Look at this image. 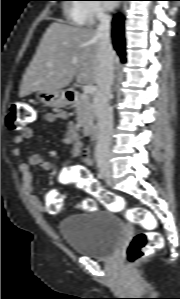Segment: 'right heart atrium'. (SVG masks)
Masks as SVG:
<instances>
[{"mask_svg":"<svg viewBox=\"0 0 180 299\" xmlns=\"http://www.w3.org/2000/svg\"><path fill=\"white\" fill-rule=\"evenodd\" d=\"M91 4L86 5L85 12L90 21L101 20L106 16V9L99 0L91 1Z\"/></svg>","mask_w":180,"mask_h":299,"instance_id":"d8ad5b80","label":"right heart atrium"}]
</instances>
